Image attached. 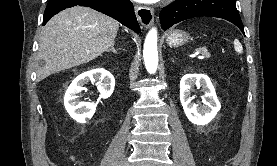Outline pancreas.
Returning a JSON list of instances; mask_svg holds the SVG:
<instances>
[{"instance_id":"1","label":"pancreas","mask_w":277,"mask_h":166,"mask_svg":"<svg viewBox=\"0 0 277 166\" xmlns=\"http://www.w3.org/2000/svg\"><path fill=\"white\" fill-rule=\"evenodd\" d=\"M199 51H202V53L204 54V53H209L206 49H204V48H200V49H198Z\"/></svg>"}]
</instances>
